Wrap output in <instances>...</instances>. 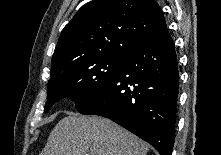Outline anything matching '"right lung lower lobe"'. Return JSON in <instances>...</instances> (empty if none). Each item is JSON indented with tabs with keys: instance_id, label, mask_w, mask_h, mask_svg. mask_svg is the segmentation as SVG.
<instances>
[{
	"instance_id": "1",
	"label": "right lung lower lobe",
	"mask_w": 221,
	"mask_h": 155,
	"mask_svg": "<svg viewBox=\"0 0 221 155\" xmlns=\"http://www.w3.org/2000/svg\"><path fill=\"white\" fill-rule=\"evenodd\" d=\"M178 88L177 56L166 29L139 41L112 80L79 112L109 118L160 155H171Z\"/></svg>"
}]
</instances>
